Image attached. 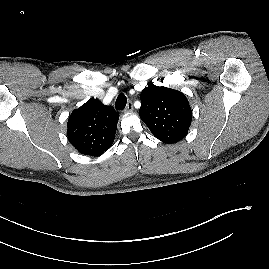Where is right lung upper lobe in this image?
I'll return each mask as SVG.
<instances>
[{
	"label": "right lung upper lobe",
	"instance_id": "1",
	"mask_svg": "<svg viewBox=\"0 0 269 269\" xmlns=\"http://www.w3.org/2000/svg\"><path fill=\"white\" fill-rule=\"evenodd\" d=\"M119 114L98 99L75 109L68 119V140L84 155L100 156L112 145Z\"/></svg>",
	"mask_w": 269,
	"mask_h": 269
}]
</instances>
